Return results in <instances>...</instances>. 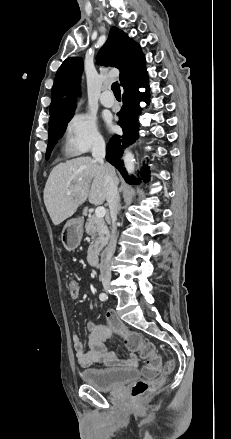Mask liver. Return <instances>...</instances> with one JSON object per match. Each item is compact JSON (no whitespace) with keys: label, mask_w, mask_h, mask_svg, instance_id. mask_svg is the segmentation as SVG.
<instances>
[{"label":"liver","mask_w":231,"mask_h":439,"mask_svg":"<svg viewBox=\"0 0 231 439\" xmlns=\"http://www.w3.org/2000/svg\"><path fill=\"white\" fill-rule=\"evenodd\" d=\"M105 174L104 166L86 156L56 165L44 189V203L53 224L71 217L87 198L91 204H103L107 198Z\"/></svg>","instance_id":"obj_1"}]
</instances>
